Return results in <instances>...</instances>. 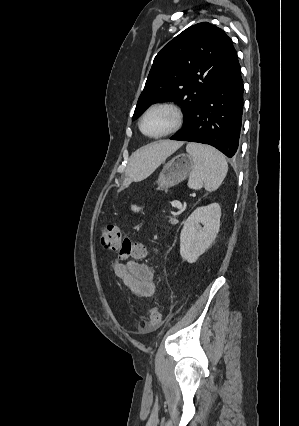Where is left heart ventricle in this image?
I'll return each instance as SVG.
<instances>
[{"label": "left heart ventricle", "mask_w": 299, "mask_h": 426, "mask_svg": "<svg viewBox=\"0 0 299 426\" xmlns=\"http://www.w3.org/2000/svg\"><path fill=\"white\" fill-rule=\"evenodd\" d=\"M174 122L175 116L170 110L156 109L146 117L143 129L149 135H158L169 130Z\"/></svg>", "instance_id": "1"}]
</instances>
